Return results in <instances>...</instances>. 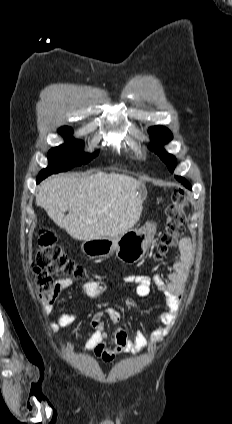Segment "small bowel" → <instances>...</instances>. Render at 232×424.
<instances>
[{"label":"small bowel","mask_w":232,"mask_h":424,"mask_svg":"<svg viewBox=\"0 0 232 424\" xmlns=\"http://www.w3.org/2000/svg\"><path fill=\"white\" fill-rule=\"evenodd\" d=\"M194 260V247L190 238L185 237L179 242V259L173 263L167 279L164 280L159 275L153 277L146 274L131 273L125 277V281L136 286V293L140 297H147L151 294V286L154 284L163 294L166 300V308L163 311H154L151 319L158 326L147 338L141 330L136 331L134 338L129 337L128 332L118 324L121 320L120 312L114 307H106L94 312L89 322V327L93 332L88 337L84 350L91 351L95 356L105 362H111L116 357L127 353H139L148 347H153L160 343L167 335L170 327L174 324L175 317L182 303L183 293L189 280V268ZM74 281L64 278L54 285V296L70 288ZM81 290L90 298L97 299L106 291V284L103 281H89L81 286ZM104 316H108L115 325V332L112 338V346H108L104 333ZM78 316L73 313L64 312L60 308L56 320L51 323L54 330L73 325Z\"/></svg>","instance_id":"1"}]
</instances>
